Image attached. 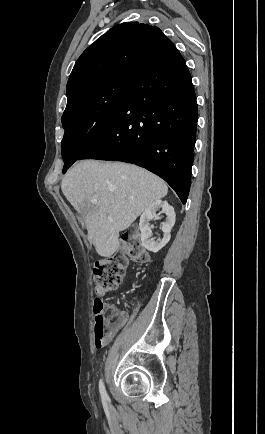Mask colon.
<instances>
[{"label":"colon","mask_w":265,"mask_h":434,"mask_svg":"<svg viewBox=\"0 0 265 434\" xmlns=\"http://www.w3.org/2000/svg\"><path fill=\"white\" fill-rule=\"evenodd\" d=\"M135 261L143 260L144 255L136 248L132 251ZM127 257L123 251L115 253L109 259H102L94 262L93 273L96 287L97 300H95V313L93 315V328L97 331L94 335V344L97 348L107 347L110 340L109 318L104 312L103 304L100 299L105 293L114 291L120 284ZM114 324V321H111Z\"/></svg>","instance_id":"colon-1"}]
</instances>
